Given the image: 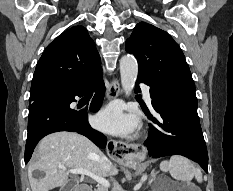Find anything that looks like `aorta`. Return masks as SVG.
Masks as SVG:
<instances>
[{
	"mask_svg": "<svg viewBox=\"0 0 233 191\" xmlns=\"http://www.w3.org/2000/svg\"><path fill=\"white\" fill-rule=\"evenodd\" d=\"M138 75V63L134 56L124 55L120 59L121 85L126 95H130Z\"/></svg>",
	"mask_w": 233,
	"mask_h": 191,
	"instance_id": "aorta-1",
	"label": "aorta"
}]
</instances>
